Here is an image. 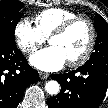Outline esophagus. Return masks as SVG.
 <instances>
[{
	"instance_id": "1",
	"label": "esophagus",
	"mask_w": 108,
	"mask_h": 108,
	"mask_svg": "<svg viewBox=\"0 0 108 108\" xmlns=\"http://www.w3.org/2000/svg\"><path fill=\"white\" fill-rule=\"evenodd\" d=\"M39 76H40V79H42V80L49 78V74L45 73V72H40Z\"/></svg>"
}]
</instances>
